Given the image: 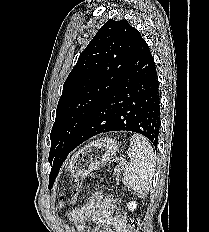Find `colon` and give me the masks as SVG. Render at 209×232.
<instances>
[{"instance_id":"colon-1","label":"colon","mask_w":209,"mask_h":232,"mask_svg":"<svg viewBox=\"0 0 209 232\" xmlns=\"http://www.w3.org/2000/svg\"><path fill=\"white\" fill-rule=\"evenodd\" d=\"M76 197H77V193L74 192L73 199H75ZM119 219H121L124 222V224L127 226L129 232H137V228H138L139 223L135 217L122 215L121 217H119Z\"/></svg>"}]
</instances>
